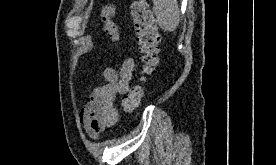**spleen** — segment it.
<instances>
[{
    "label": "spleen",
    "instance_id": "spleen-1",
    "mask_svg": "<svg viewBox=\"0 0 276 165\" xmlns=\"http://www.w3.org/2000/svg\"><path fill=\"white\" fill-rule=\"evenodd\" d=\"M154 3L153 12L157 23L163 31L172 32L180 20V10L177 0H152Z\"/></svg>",
    "mask_w": 276,
    "mask_h": 165
}]
</instances>
